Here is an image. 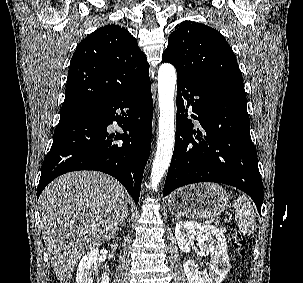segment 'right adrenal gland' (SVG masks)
Returning a JSON list of instances; mask_svg holds the SVG:
<instances>
[{
	"mask_svg": "<svg viewBox=\"0 0 303 283\" xmlns=\"http://www.w3.org/2000/svg\"><path fill=\"white\" fill-rule=\"evenodd\" d=\"M128 219V208L124 211V214L121 217V221L119 223L118 229H120L121 225L123 224L124 221H127Z\"/></svg>",
	"mask_w": 303,
	"mask_h": 283,
	"instance_id": "right-adrenal-gland-1",
	"label": "right adrenal gland"
}]
</instances>
